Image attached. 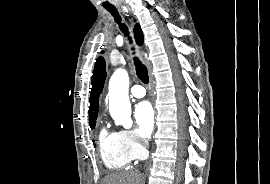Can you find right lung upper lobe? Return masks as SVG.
<instances>
[{
	"label": "right lung upper lobe",
	"instance_id": "cb5924a9",
	"mask_svg": "<svg viewBox=\"0 0 270 184\" xmlns=\"http://www.w3.org/2000/svg\"><path fill=\"white\" fill-rule=\"evenodd\" d=\"M135 38L139 45L143 43V33L139 24L134 28ZM106 79V66L103 57L96 60L93 76L91 79L92 89L90 94L89 122L96 121L99 109V95L102 92Z\"/></svg>",
	"mask_w": 270,
	"mask_h": 184
}]
</instances>
